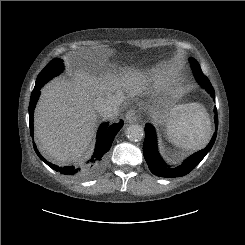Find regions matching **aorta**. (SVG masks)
<instances>
[{
    "label": "aorta",
    "instance_id": "1",
    "mask_svg": "<svg viewBox=\"0 0 245 245\" xmlns=\"http://www.w3.org/2000/svg\"><path fill=\"white\" fill-rule=\"evenodd\" d=\"M125 133L130 141H141L144 136V129L138 124H132L126 128Z\"/></svg>",
    "mask_w": 245,
    "mask_h": 245
}]
</instances>
